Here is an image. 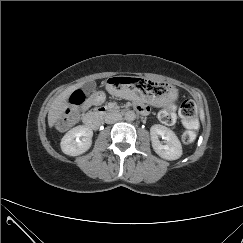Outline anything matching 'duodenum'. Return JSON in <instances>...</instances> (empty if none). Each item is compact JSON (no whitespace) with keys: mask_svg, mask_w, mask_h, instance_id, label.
I'll return each instance as SVG.
<instances>
[{"mask_svg":"<svg viewBox=\"0 0 243 243\" xmlns=\"http://www.w3.org/2000/svg\"><path fill=\"white\" fill-rule=\"evenodd\" d=\"M124 110L112 107H98L86 113L84 123L90 128H98L102 120L110 114H123Z\"/></svg>","mask_w":243,"mask_h":243,"instance_id":"obj_1","label":"duodenum"}]
</instances>
